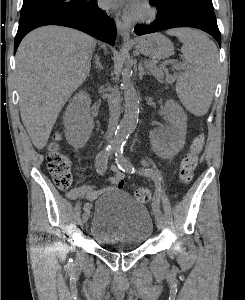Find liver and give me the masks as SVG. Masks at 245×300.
<instances>
[{
  "label": "liver",
  "mask_w": 245,
  "mask_h": 300,
  "mask_svg": "<svg viewBox=\"0 0 245 300\" xmlns=\"http://www.w3.org/2000/svg\"><path fill=\"white\" fill-rule=\"evenodd\" d=\"M96 40L80 31L44 26L30 32L16 53V80L22 122L37 149H43L70 96L89 75Z\"/></svg>",
  "instance_id": "6515ba94"
}]
</instances>
